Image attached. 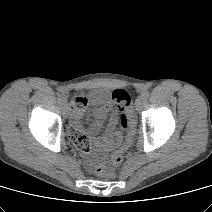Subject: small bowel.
Returning <instances> with one entry per match:
<instances>
[{
  "instance_id": "1",
  "label": "small bowel",
  "mask_w": 212,
  "mask_h": 212,
  "mask_svg": "<svg viewBox=\"0 0 212 212\" xmlns=\"http://www.w3.org/2000/svg\"><path fill=\"white\" fill-rule=\"evenodd\" d=\"M84 102V108L80 111H75L73 117V126L69 132L70 138H75L80 142L84 143L89 150V141L86 133L82 130L83 124V112L87 106L88 100L86 98L80 97ZM92 102L96 105L93 111L94 121L90 126L91 133L95 134L98 132L105 119L111 113V106L107 102V93L105 91H97L92 95ZM117 124V114L114 112L110 115V120L107 126L106 134L98 142V146L105 150H110L117 145L122 140L121 135L115 131V126Z\"/></svg>"
}]
</instances>
